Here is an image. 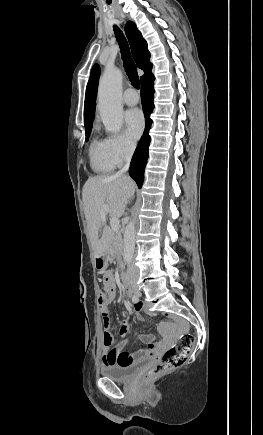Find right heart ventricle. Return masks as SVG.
<instances>
[{"instance_id":"right-heart-ventricle-1","label":"right heart ventricle","mask_w":263,"mask_h":435,"mask_svg":"<svg viewBox=\"0 0 263 435\" xmlns=\"http://www.w3.org/2000/svg\"><path fill=\"white\" fill-rule=\"evenodd\" d=\"M90 165L96 173H110L115 168V163L112 161L106 138L94 136L89 146Z\"/></svg>"}]
</instances>
